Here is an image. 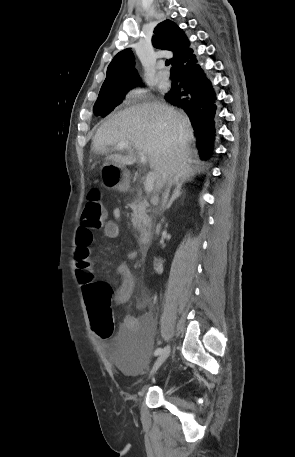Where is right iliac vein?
Wrapping results in <instances>:
<instances>
[{
	"label": "right iliac vein",
	"mask_w": 295,
	"mask_h": 457,
	"mask_svg": "<svg viewBox=\"0 0 295 457\" xmlns=\"http://www.w3.org/2000/svg\"><path fill=\"white\" fill-rule=\"evenodd\" d=\"M170 354V346H166L162 352L159 354L158 358L156 359L150 373H149V377L148 378H151L154 373L160 368V366L165 362V360L168 358Z\"/></svg>",
	"instance_id": "63e3f726"
}]
</instances>
